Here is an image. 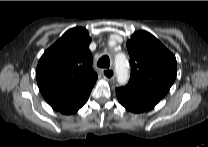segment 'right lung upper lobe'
Segmentation results:
<instances>
[{
	"label": "right lung upper lobe",
	"mask_w": 208,
	"mask_h": 147,
	"mask_svg": "<svg viewBox=\"0 0 208 147\" xmlns=\"http://www.w3.org/2000/svg\"><path fill=\"white\" fill-rule=\"evenodd\" d=\"M90 42L86 29L72 28L42 55L36 79L43 97L54 110L62 112L88 99L97 80Z\"/></svg>",
	"instance_id": "right-lung-upper-lobe-1"
}]
</instances>
